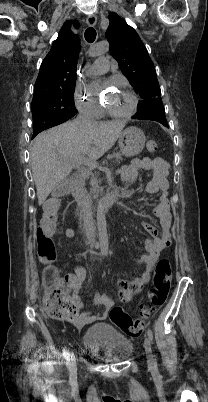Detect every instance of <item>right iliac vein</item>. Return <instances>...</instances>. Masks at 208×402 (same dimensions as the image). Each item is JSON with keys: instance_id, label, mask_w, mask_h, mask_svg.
<instances>
[{"instance_id": "63e3f726", "label": "right iliac vein", "mask_w": 208, "mask_h": 402, "mask_svg": "<svg viewBox=\"0 0 208 402\" xmlns=\"http://www.w3.org/2000/svg\"><path fill=\"white\" fill-rule=\"evenodd\" d=\"M68 368L70 372L74 373L76 371V359L73 353H71L68 360Z\"/></svg>"}]
</instances>
